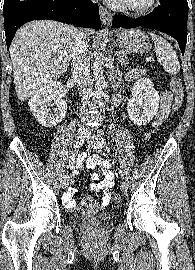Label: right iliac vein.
Here are the masks:
<instances>
[{
	"mask_svg": "<svg viewBox=\"0 0 195 270\" xmlns=\"http://www.w3.org/2000/svg\"><path fill=\"white\" fill-rule=\"evenodd\" d=\"M85 137H86V132L84 131H79L76 135V138H75V142H74V148H79L84 140H85ZM70 183V178H69V175L68 174H65V176L63 177V180H62V187L64 189H66L68 187Z\"/></svg>",
	"mask_w": 195,
	"mask_h": 270,
	"instance_id": "obj_1",
	"label": "right iliac vein"
}]
</instances>
